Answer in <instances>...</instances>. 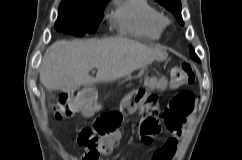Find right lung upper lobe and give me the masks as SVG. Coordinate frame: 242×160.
Returning a JSON list of instances; mask_svg holds the SVG:
<instances>
[{
    "label": "right lung upper lobe",
    "instance_id": "cb5924a9",
    "mask_svg": "<svg viewBox=\"0 0 242 160\" xmlns=\"http://www.w3.org/2000/svg\"><path fill=\"white\" fill-rule=\"evenodd\" d=\"M64 2H87L91 0H63Z\"/></svg>",
    "mask_w": 242,
    "mask_h": 160
}]
</instances>
